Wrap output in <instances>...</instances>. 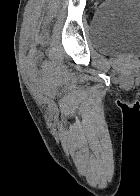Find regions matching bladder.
Listing matches in <instances>:
<instances>
[{"label": "bladder", "instance_id": "obj_1", "mask_svg": "<svg viewBox=\"0 0 140 196\" xmlns=\"http://www.w3.org/2000/svg\"><path fill=\"white\" fill-rule=\"evenodd\" d=\"M90 42L104 54L140 57V0H105L92 16Z\"/></svg>", "mask_w": 140, "mask_h": 196}]
</instances>
